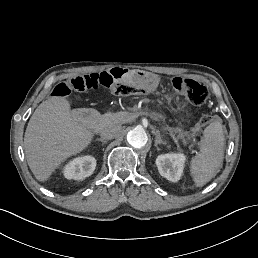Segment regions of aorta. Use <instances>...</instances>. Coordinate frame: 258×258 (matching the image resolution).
<instances>
[{"label":"aorta","mask_w":258,"mask_h":258,"mask_svg":"<svg viewBox=\"0 0 258 258\" xmlns=\"http://www.w3.org/2000/svg\"><path fill=\"white\" fill-rule=\"evenodd\" d=\"M128 143L134 148H142L148 142V136L145 129L137 126L131 129L127 134Z\"/></svg>","instance_id":"1"}]
</instances>
